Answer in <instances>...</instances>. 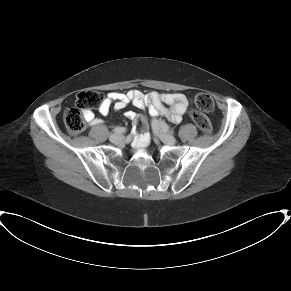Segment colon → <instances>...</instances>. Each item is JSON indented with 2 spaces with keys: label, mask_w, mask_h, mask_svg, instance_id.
<instances>
[{
  "label": "colon",
  "mask_w": 291,
  "mask_h": 291,
  "mask_svg": "<svg viewBox=\"0 0 291 291\" xmlns=\"http://www.w3.org/2000/svg\"><path fill=\"white\" fill-rule=\"evenodd\" d=\"M103 101L101 92L93 89H85L80 91L76 96L75 106L65 110L63 114V122L67 130L71 134L81 132L85 127L83 116L84 110L98 108ZM196 105L205 112L214 110L213 98L207 93H198L195 97ZM193 118L197 126L206 134L211 132L212 126L210 120L201 112H193Z\"/></svg>",
  "instance_id": "5ec220e1"
}]
</instances>
